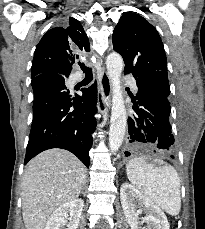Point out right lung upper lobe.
Masks as SVG:
<instances>
[{
    "label": "right lung upper lobe",
    "instance_id": "right-lung-upper-lobe-1",
    "mask_svg": "<svg viewBox=\"0 0 205 229\" xmlns=\"http://www.w3.org/2000/svg\"><path fill=\"white\" fill-rule=\"evenodd\" d=\"M90 51L81 23L70 17L65 27H55L44 34L32 62V78L47 71L69 76L79 54Z\"/></svg>",
    "mask_w": 205,
    "mask_h": 229
}]
</instances>
